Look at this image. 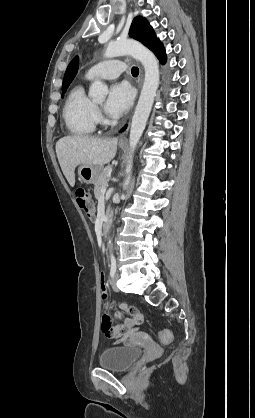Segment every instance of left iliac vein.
<instances>
[{
	"instance_id": "left-iliac-vein-1",
	"label": "left iliac vein",
	"mask_w": 255,
	"mask_h": 418,
	"mask_svg": "<svg viewBox=\"0 0 255 418\" xmlns=\"http://www.w3.org/2000/svg\"><path fill=\"white\" fill-rule=\"evenodd\" d=\"M118 279H119V274L117 273L111 281V286H112L113 290L116 291V292H119V289L117 287V280Z\"/></svg>"
}]
</instances>
